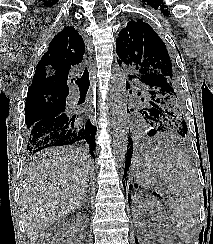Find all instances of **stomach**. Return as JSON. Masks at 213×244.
Listing matches in <instances>:
<instances>
[{
  "label": "stomach",
  "instance_id": "1",
  "mask_svg": "<svg viewBox=\"0 0 213 244\" xmlns=\"http://www.w3.org/2000/svg\"><path fill=\"white\" fill-rule=\"evenodd\" d=\"M142 154H153V149H142ZM147 155L143 160H137L134 164V175L138 183L146 188L157 189L161 177L153 160Z\"/></svg>",
  "mask_w": 213,
  "mask_h": 244
}]
</instances>
